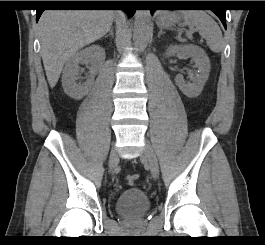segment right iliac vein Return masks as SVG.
<instances>
[{
    "label": "right iliac vein",
    "instance_id": "right-iliac-vein-1",
    "mask_svg": "<svg viewBox=\"0 0 265 245\" xmlns=\"http://www.w3.org/2000/svg\"><path fill=\"white\" fill-rule=\"evenodd\" d=\"M118 161V156L115 149H112L110 157H109V166L110 170H113L116 162Z\"/></svg>",
    "mask_w": 265,
    "mask_h": 245
}]
</instances>
